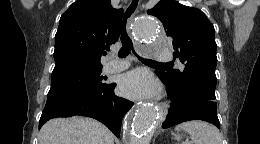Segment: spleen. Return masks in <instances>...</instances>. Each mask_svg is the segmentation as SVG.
Instances as JSON below:
<instances>
[{"label":"spleen","instance_id":"obj_1","mask_svg":"<svg viewBox=\"0 0 260 144\" xmlns=\"http://www.w3.org/2000/svg\"><path fill=\"white\" fill-rule=\"evenodd\" d=\"M175 130L186 131L192 144H222V136L216 128L203 121H188L176 126Z\"/></svg>","mask_w":260,"mask_h":144}]
</instances>
